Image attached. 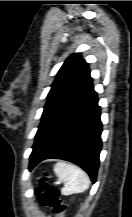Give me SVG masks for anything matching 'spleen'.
Instances as JSON below:
<instances>
[{"mask_svg": "<svg viewBox=\"0 0 132 217\" xmlns=\"http://www.w3.org/2000/svg\"><path fill=\"white\" fill-rule=\"evenodd\" d=\"M54 172L64 183L61 193L65 196L84 192L90 184L88 175L78 166L67 162H57Z\"/></svg>", "mask_w": 132, "mask_h": 217, "instance_id": "3e777b00", "label": "spleen"}]
</instances>
